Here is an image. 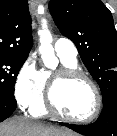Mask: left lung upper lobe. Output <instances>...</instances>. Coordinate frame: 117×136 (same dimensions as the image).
Segmentation results:
<instances>
[{"mask_svg":"<svg viewBox=\"0 0 117 136\" xmlns=\"http://www.w3.org/2000/svg\"><path fill=\"white\" fill-rule=\"evenodd\" d=\"M49 11L60 32L76 45L105 104L117 95V31L111 12L101 0H50Z\"/></svg>","mask_w":117,"mask_h":136,"instance_id":"obj_1","label":"left lung upper lobe"}]
</instances>
